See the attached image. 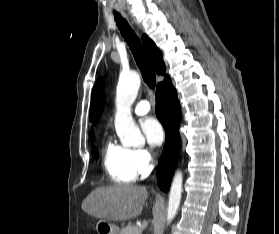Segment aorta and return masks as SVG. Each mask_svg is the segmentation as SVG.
Listing matches in <instances>:
<instances>
[{
    "instance_id": "1",
    "label": "aorta",
    "mask_w": 279,
    "mask_h": 234,
    "mask_svg": "<svg viewBox=\"0 0 279 234\" xmlns=\"http://www.w3.org/2000/svg\"><path fill=\"white\" fill-rule=\"evenodd\" d=\"M140 76L136 71L123 72L119 76L116 89V115L115 129L124 146H136L144 138L136 126L132 115L131 106L134 103L140 87ZM182 172L177 171L173 177L169 192L167 221L170 223L177 214L182 193Z\"/></svg>"
}]
</instances>
